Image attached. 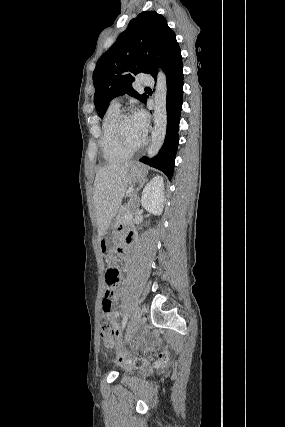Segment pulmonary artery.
Instances as JSON below:
<instances>
[{
    "mask_svg": "<svg viewBox=\"0 0 285 427\" xmlns=\"http://www.w3.org/2000/svg\"><path fill=\"white\" fill-rule=\"evenodd\" d=\"M139 83H140L141 85H144V86H151V85H153V84H154V79H153L150 75H148V74H144V75H142V76L140 77ZM120 102H121V98H120V97H115V98L112 100L111 104H113V105H116V106H119V107H120Z\"/></svg>",
    "mask_w": 285,
    "mask_h": 427,
    "instance_id": "pulmonary-artery-1",
    "label": "pulmonary artery"
}]
</instances>
